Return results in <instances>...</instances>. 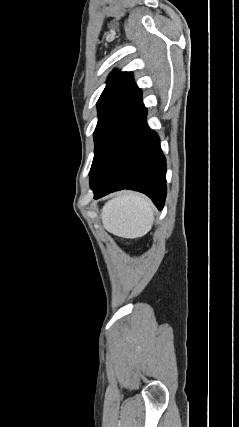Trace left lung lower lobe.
I'll list each match as a JSON object with an SVG mask.
<instances>
[{
  "label": "left lung lower lobe",
  "mask_w": 239,
  "mask_h": 427,
  "mask_svg": "<svg viewBox=\"0 0 239 427\" xmlns=\"http://www.w3.org/2000/svg\"><path fill=\"white\" fill-rule=\"evenodd\" d=\"M147 109L135 114L109 141L90 173L94 198L131 189L149 196L159 210L166 198V159L158 135L146 123Z\"/></svg>",
  "instance_id": "0a47b994"
}]
</instances>
